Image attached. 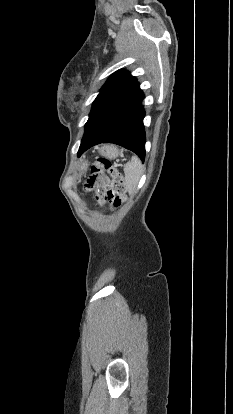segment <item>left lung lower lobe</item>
<instances>
[{"instance_id": "0a47b994", "label": "left lung lower lobe", "mask_w": 233, "mask_h": 414, "mask_svg": "<svg viewBox=\"0 0 233 414\" xmlns=\"http://www.w3.org/2000/svg\"><path fill=\"white\" fill-rule=\"evenodd\" d=\"M144 94L139 83L95 100L78 155L100 143H114L145 158Z\"/></svg>"}]
</instances>
